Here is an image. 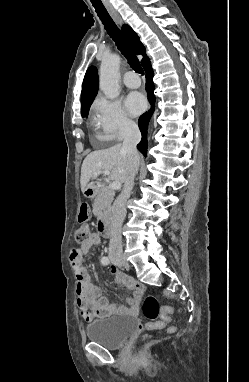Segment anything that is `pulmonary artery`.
Masks as SVG:
<instances>
[{
	"instance_id": "1",
	"label": "pulmonary artery",
	"mask_w": 249,
	"mask_h": 382,
	"mask_svg": "<svg viewBox=\"0 0 249 382\" xmlns=\"http://www.w3.org/2000/svg\"><path fill=\"white\" fill-rule=\"evenodd\" d=\"M124 84L131 89L138 88L141 84L140 78L134 72H127L123 78Z\"/></svg>"
}]
</instances>
